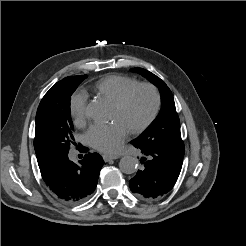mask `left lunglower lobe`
<instances>
[{
	"label": "left lung lower lobe",
	"instance_id": "0a47b994",
	"mask_svg": "<svg viewBox=\"0 0 246 246\" xmlns=\"http://www.w3.org/2000/svg\"><path fill=\"white\" fill-rule=\"evenodd\" d=\"M134 145V144H133ZM144 155L143 168L129 181L135 195L144 200L159 199L175 185L180 174L184 152L162 147H139Z\"/></svg>",
	"mask_w": 246,
	"mask_h": 246
}]
</instances>
